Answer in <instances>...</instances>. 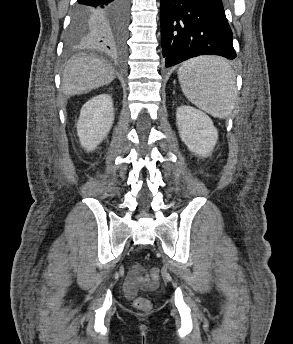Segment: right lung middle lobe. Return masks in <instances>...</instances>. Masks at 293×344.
Instances as JSON below:
<instances>
[{
  "mask_svg": "<svg viewBox=\"0 0 293 344\" xmlns=\"http://www.w3.org/2000/svg\"><path fill=\"white\" fill-rule=\"evenodd\" d=\"M91 23L90 17L83 12L74 10L71 26L68 32L67 45L70 48L89 43V33L87 28Z\"/></svg>",
  "mask_w": 293,
  "mask_h": 344,
  "instance_id": "dd1d6c3e",
  "label": "right lung middle lobe"
}]
</instances>
